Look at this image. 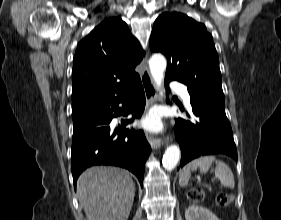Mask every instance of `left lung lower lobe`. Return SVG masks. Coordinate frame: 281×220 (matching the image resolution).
<instances>
[{
    "label": "left lung lower lobe",
    "mask_w": 281,
    "mask_h": 220,
    "mask_svg": "<svg viewBox=\"0 0 281 220\" xmlns=\"http://www.w3.org/2000/svg\"><path fill=\"white\" fill-rule=\"evenodd\" d=\"M168 85L169 81H165ZM192 111L187 115L192 120L177 119L176 139L180 143L183 167L190 160L211 154H225L237 161L236 145L230 123L225 114V104L202 101L201 95L191 92ZM183 111V107H180Z\"/></svg>",
    "instance_id": "1"
}]
</instances>
